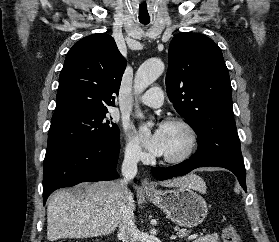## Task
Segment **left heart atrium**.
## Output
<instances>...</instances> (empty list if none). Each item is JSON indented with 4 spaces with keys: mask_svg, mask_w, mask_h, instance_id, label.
<instances>
[{
    "mask_svg": "<svg viewBox=\"0 0 279 242\" xmlns=\"http://www.w3.org/2000/svg\"><path fill=\"white\" fill-rule=\"evenodd\" d=\"M164 125L153 128L150 132H144L140 129L136 131V139L152 154L161 156L165 151Z\"/></svg>",
    "mask_w": 279,
    "mask_h": 242,
    "instance_id": "39dd6f15",
    "label": "left heart atrium"
}]
</instances>
